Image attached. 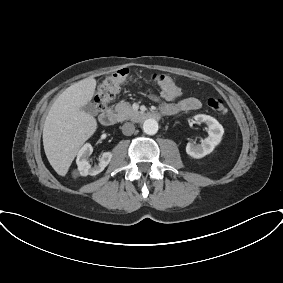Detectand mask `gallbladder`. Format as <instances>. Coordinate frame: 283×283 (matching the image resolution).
Here are the masks:
<instances>
[{
    "label": "gallbladder",
    "mask_w": 283,
    "mask_h": 283,
    "mask_svg": "<svg viewBox=\"0 0 283 283\" xmlns=\"http://www.w3.org/2000/svg\"><path fill=\"white\" fill-rule=\"evenodd\" d=\"M82 110L90 115H97L98 111L96 106L93 103H88L84 107H82Z\"/></svg>",
    "instance_id": "1"
}]
</instances>
